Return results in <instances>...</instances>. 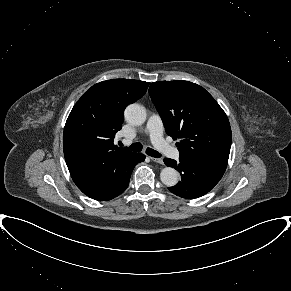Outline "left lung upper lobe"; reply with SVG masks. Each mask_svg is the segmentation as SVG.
Segmentation results:
<instances>
[{"mask_svg":"<svg viewBox=\"0 0 291 291\" xmlns=\"http://www.w3.org/2000/svg\"><path fill=\"white\" fill-rule=\"evenodd\" d=\"M149 94L166 133L180 139V156L228 161L229 120L203 87L188 81H160L151 84Z\"/></svg>","mask_w":291,"mask_h":291,"instance_id":"5c2ea615","label":"left lung upper lobe"}]
</instances>
